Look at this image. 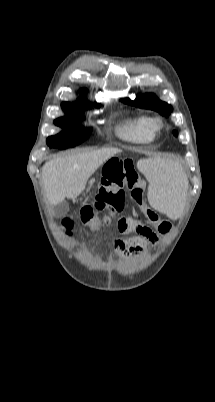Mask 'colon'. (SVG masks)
<instances>
[{
	"instance_id": "1",
	"label": "colon",
	"mask_w": 215,
	"mask_h": 402,
	"mask_svg": "<svg viewBox=\"0 0 215 402\" xmlns=\"http://www.w3.org/2000/svg\"><path fill=\"white\" fill-rule=\"evenodd\" d=\"M102 176L104 181L93 206H85L80 211L82 223L90 228L97 229L111 222L115 213L124 207L125 192L140 207L146 218L154 224L157 231L167 235L172 225L159 217L153 210L146 207L144 202L145 181L134 167L133 156H110L105 160ZM102 213V214H101ZM137 219L133 217L118 220V229L125 230L136 227ZM71 227V223H66Z\"/></svg>"
}]
</instances>
